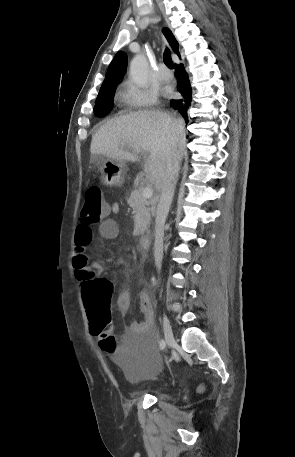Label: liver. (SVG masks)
Instances as JSON below:
<instances>
[{"instance_id":"liver-1","label":"liver","mask_w":295,"mask_h":457,"mask_svg":"<svg viewBox=\"0 0 295 457\" xmlns=\"http://www.w3.org/2000/svg\"><path fill=\"white\" fill-rule=\"evenodd\" d=\"M138 147L148 153L144 173L160 190L168 160L177 152L185 154L183 122L162 111H138L107 121L92 137L90 152L121 161H139L140 156L124 150Z\"/></svg>"}]
</instances>
